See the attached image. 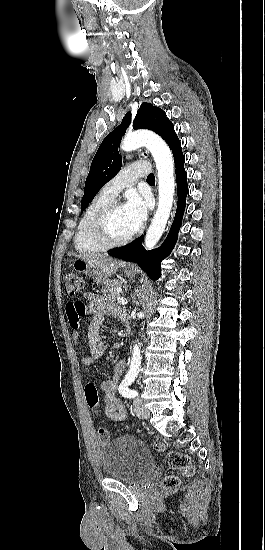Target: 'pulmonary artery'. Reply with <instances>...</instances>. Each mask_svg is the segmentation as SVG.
Returning a JSON list of instances; mask_svg holds the SVG:
<instances>
[{
    "mask_svg": "<svg viewBox=\"0 0 265 550\" xmlns=\"http://www.w3.org/2000/svg\"><path fill=\"white\" fill-rule=\"evenodd\" d=\"M148 171V162L137 161L126 165L118 175L108 181L102 188V191L114 198L126 187L135 184L136 180L144 176Z\"/></svg>",
    "mask_w": 265,
    "mask_h": 550,
    "instance_id": "obj_1",
    "label": "pulmonary artery"
}]
</instances>
